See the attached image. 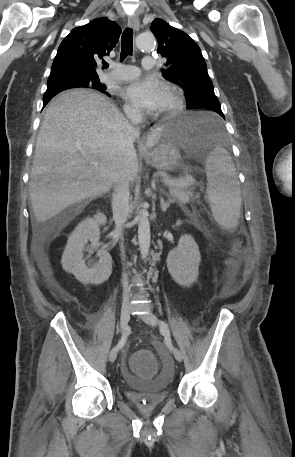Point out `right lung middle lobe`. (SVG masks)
Instances as JSON below:
<instances>
[{
  "label": "right lung middle lobe",
  "mask_w": 295,
  "mask_h": 457,
  "mask_svg": "<svg viewBox=\"0 0 295 457\" xmlns=\"http://www.w3.org/2000/svg\"><path fill=\"white\" fill-rule=\"evenodd\" d=\"M84 85L82 87H91L93 89H97L99 91L106 89V86L100 83V80L97 76L95 77H89L84 80ZM63 90H52L48 89L43 97L44 101H49L54 95L57 93L61 92Z\"/></svg>",
  "instance_id": "1"
}]
</instances>
